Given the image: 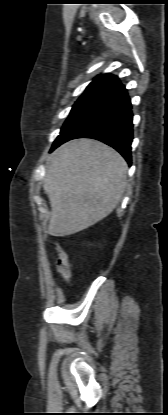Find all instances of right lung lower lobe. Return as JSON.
Returning <instances> with one entry per match:
<instances>
[{"label": "right lung lower lobe", "instance_id": "obj_1", "mask_svg": "<svg viewBox=\"0 0 168 415\" xmlns=\"http://www.w3.org/2000/svg\"><path fill=\"white\" fill-rule=\"evenodd\" d=\"M131 108L124 85L120 82L114 84L64 124L50 151L72 139L93 138L112 146L131 165Z\"/></svg>", "mask_w": 168, "mask_h": 415}]
</instances>
